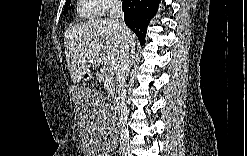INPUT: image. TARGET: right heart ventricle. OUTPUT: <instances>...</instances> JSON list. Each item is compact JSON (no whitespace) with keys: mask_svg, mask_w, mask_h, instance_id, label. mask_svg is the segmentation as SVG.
I'll return each instance as SVG.
<instances>
[{"mask_svg":"<svg viewBox=\"0 0 247 156\" xmlns=\"http://www.w3.org/2000/svg\"><path fill=\"white\" fill-rule=\"evenodd\" d=\"M98 7L94 1H81L78 4L77 13L82 18H95L98 14Z\"/></svg>","mask_w":247,"mask_h":156,"instance_id":"1","label":"right heart ventricle"}]
</instances>
